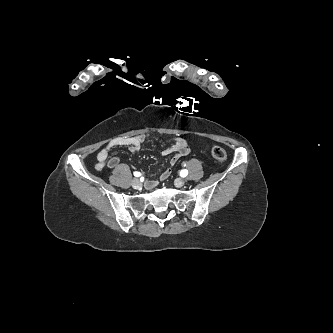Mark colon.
<instances>
[{"mask_svg":"<svg viewBox=\"0 0 333 333\" xmlns=\"http://www.w3.org/2000/svg\"><path fill=\"white\" fill-rule=\"evenodd\" d=\"M211 155L213 159L218 163H224L227 159L226 151L219 146H215L212 148Z\"/></svg>","mask_w":333,"mask_h":333,"instance_id":"colon-1","label":"colon"}]
</instances>
